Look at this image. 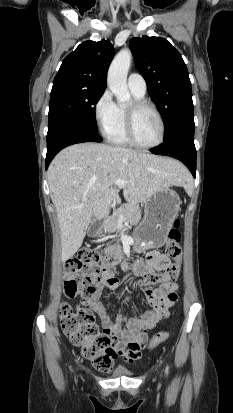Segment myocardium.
I'll use <instances>...</instances> for the list:
<instances>
[{
	"mask_svg": "<svg viewBox=\"0 0 233 413\" xmlns=\"http://www.w3.org/2000/svg\"><path fill=\"white\" fill-rule=\"evenodd\" d=\"M151 109L157 116L160 123V137L159 140L151 145L140 143L135 135V119L139 111L142 109ZM126 134L132 145L141 149H154L163 144L166 134L165 121L158 108L151 102L146 100H135L128 108H126Z\"/></svg>",
	"mask_w": 233,
	"mask_h": 413,
	"instance_id": "1",
	"label": "myocardium"
}]
</instances>
